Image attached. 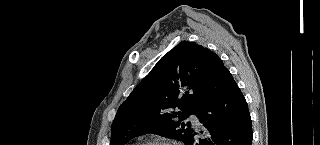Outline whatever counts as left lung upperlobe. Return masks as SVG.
<instances>
[{
    "mask_svg": "<svg viewBox=\"0 0 320 145\" xmlns=\"http://www.w3.org/2000/svg\"><path fill=\"white\" fill-rule=\"evenodd\" d=\"M220 60L208 48L182 41L154 66L119 107L111 129V145H124L148 133L179 139L185 145L202 100V84ZM181 111L175 112L174 108Z\"/></svg>",
    "mask_w": 320,
    "mask_h": 145,
    "instance_id": "left-lung-upper-lobe-1",
    "label": "left lung upper lobe"
}]
</instances>
